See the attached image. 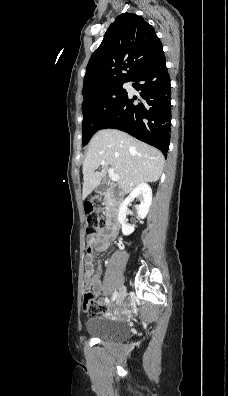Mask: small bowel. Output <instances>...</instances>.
<instances>
[{
  "mask_svg": "<svg viewBox=\"0 0 228 396\" xmlns=\"http://www.w3.org/2000/svg\"><path fill=\"white\" fill-rule=\"evenodd\" d=\"M115 232L109 229H99L95 232L92 238L87 241V251L85 256V280L91 281L93 291L101 295L103 291L102 286V271H95L93 266V260L95 257V253L104 252L110 248L111 241L115 238ZM128 304L123 306L121 311L115 313V318H121L126 315L128 312Z\"/></svg>",
  "mask_w": 228,
  "mask_h": 396,
  "instance_id": "obj_1",
  "label": "small bowel"
}]
</instances>
